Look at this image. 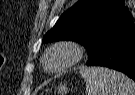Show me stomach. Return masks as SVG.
<instances>
[{
    "mask_svg": "<svg viewBox=\"0 0 135 95\" xmlns=\"http://www.w3.org/2000/svg\"><path fill=\"white\" fill-rule=\"evenodd\" d=\"M67 91H68L67 85L61 84L60 86L57 87L54 93L55 95H66Z\"/></svg>",
    "mask_w": 135,
    "mask_h": 95,
    "instance_id": "1",
    "label": "stomach"
}]
</instances>
